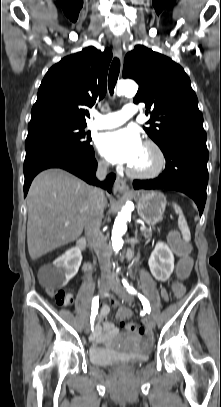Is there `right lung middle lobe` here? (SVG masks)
<instances>
[{"instance_id":"right-lung-middle-lobe-1","label":"right lung middle lobe","mask_w":221,"mask_h":407,"mask_svg":"<svg viewBox=\"0 0 221 407\" xmlns=\"http://www.w3.org/2000/svg\"><path fill=\"white\" fill-rule=\"evenodd\" d=\"M85 126L56 123L28 128L25 148L37 142H54L83 155L91 154L94 150L90 145V134L84 131Z\"/></svg>"}]
</instances>
